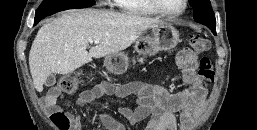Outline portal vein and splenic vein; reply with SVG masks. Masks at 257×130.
I'll return each mask as SVG.
<instances>
[{"label":"portal vein and splenic vein","mask_w":257,"mask_h":130,"mask_svg":"<svg viewBox=\"0 0 257 130\" xmlns=\"http://www.w3.org/2000/svg\"><path fill=\"white\" fill-rule=\"evenodd\" d=\"M94 43H95V44H97V43H98V41H94Z\"/></svg>","instance_id":"obj_1"}]
</instances>
